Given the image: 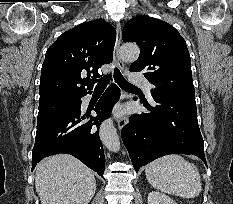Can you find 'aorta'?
<instances>
[{
	"instance_id": "aorta-1",
	"label": "aorta",
	"mask_w": 233,
	"mask_h": 204,
	"mask_svg": "<svg viewBox=\"0 0 233 204\" xmlns=\"http://www.w3.org/2000/svg\"><path fill=\"white\" fill-rule=\"evenodd\" d=\"M139 53L140 50L135 44H124L120 48V56L125 61H135L138 58ZM100 138L102 143L110 151H119L120 141L111 119H107L101 124Z\"/></svg>"
}]
</instances>
